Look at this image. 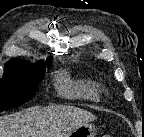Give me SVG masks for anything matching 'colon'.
<instances>
[{
	"instance_id": "colon-1",
	"label": "colon",
	"mask_w": 144,
	"mask_h": 137,
	"mask_svg": "<svg viewBox=\"0 0 144 137\" xmlns=\"http://www.w3.org/2000/svg\"><path fill=\"white\" fill-rule=\"evenodd\" d=\"M106 137H111L110 135H107Z\"/></svg>"
}]
</instances>
